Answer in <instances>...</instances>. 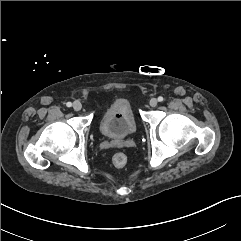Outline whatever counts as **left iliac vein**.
<instances>
[{"label": "left iliac vein", "instance_id": "1", "mask_svg": "<svg viewBox=\"0 0 241 241\" xmlns=\"http://www.w3.org/2000/svg\"><path fill=\"white\" fill-rule=\"evenodd\" d=\"M157 103H158V101H157V99H155V98H152V99L150 100V102H149V104H150L151 107H156V106H157Z\"/></svg>", "mask_w": 241, "mask_h": 241}]
</instances>
